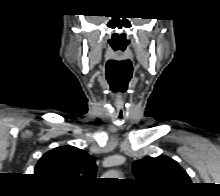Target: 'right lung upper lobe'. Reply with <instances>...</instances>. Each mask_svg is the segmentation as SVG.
<instances>
[{
    "mask_svg": "<svg viewBox=\"0 0 220 196\" xmlns=\"http://www.w3.org/2000/svg\"><path fill=\"white\" fill-rule=\"evenodd\" d=\"M92 156L73 146L57 147L38 161L34 174L62 184H83L95 178Z\"/></svg>",
    "mask_w": 220,
    "mask_h": 196,
    "instance_id": "obj_1",
    "label": "right lung upper lobe"
}]
</instances>
